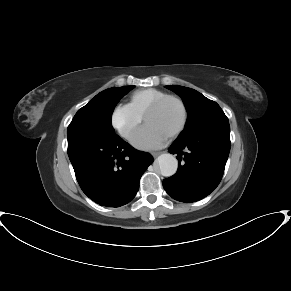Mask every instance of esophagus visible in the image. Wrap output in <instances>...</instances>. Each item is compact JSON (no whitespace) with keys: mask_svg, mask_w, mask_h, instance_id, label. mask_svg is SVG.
I'll return each instance as SVG.
<instances>
[{"mask_svg":"<svg viewBox=\"0 0 291 291\" xmlns=\"http://www.w3.org/2000/svg\"><path fill=\"white\" fill-rule=\"evenodd\" d=\"M161 154V152H153L152 153V155L154 156V157H157V156H159Z\"/></svg>","mask_w":291,"mask_h":291,"instance_id":"obj_1","label":"esophagus"}]
</instances>
